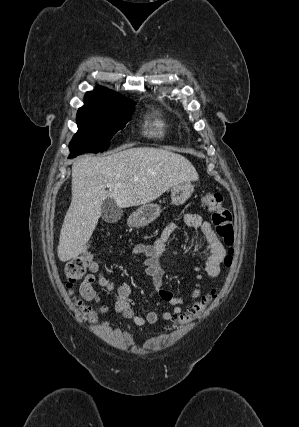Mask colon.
<instances>
[{"label":"colon","instance_id":"5ec220e1","mask_svg":"<svg viewBox=\"0 0 299 427\" xmlns=\"http://www.w3.org/2000/svg\"><path fill=\"white\" fill-rule=\"evenodd\" d=\"M202 203L204 208L212 215V221L216 226V232L222 241L229 246L224 262L231 265L233 258V248L235 231L231 210L223 204V196L218 192L208 191L203 195ZM93 256L90 253L80 254L67 261L65 265V275L68 286L71 287L76 281L81 279L91 267ZM214 298V294L205 296L202 300L194 303L187 312L181 314L175 321L176 324H184L199 318ZM84 316L94 320L98 314V309L83 305L78 302Z\"/></svg>","mask_w":299,"mask_h":427}]
</instances>
